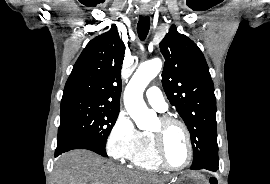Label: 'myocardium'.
Instances as JSON below:
<instances>
[{
    "label": "myocardium",
    "instance_id": "myocardium-1",
    "mask_svg": "<svg viewBox=\"0 0 270 184\" xmlns=\"http://www.w3.org/2000/svg\"><path fill=\"white\" fill-rule=\"evenodd\" d=\"M159 121L161 124V129L158 131H152L150 133L153 140L156 157L159 163L163 168L170 171H182L186 169L191 164L193 159V143L188 127L183 121L172 116H162ZM173 125L180 127L184 132L188 148L187 160L182 166L179 167H175L169 164L165 156V130Z\"/></svg>",
    "mask_w": 270,
    "mask_h": 184
}]
</instances>
